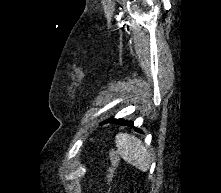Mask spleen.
<instances>
[{
	"label": "spleen",
	"mask_w": 221,
	"mask_h": 193,
	"mask_svg": "<svg viewBox=\"0 0 221 193\" xmlns=\"http://www.w3.org/2000/svg\"><path fill=\"white\" fill-rule=\"evenodd\" d=\"M116 146L120 156L129 164L142 171L149 168L147 150L140 139L127 133L116 136Z\"/></svg>",
	"instance_id": "1"
}]
</instances>
